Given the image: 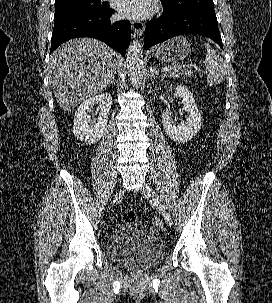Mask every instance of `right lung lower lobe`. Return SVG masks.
<instances>
[{"label": "right lung lower lobe", "mask_w": 272, "mask_h": 303, "mask_svg": "<svg viewBox=\"0 0 272 303\" xmlns=\"http://www.w3.org/2000/svg\"><path fill=\"white\" fill-rule=\"evenodd\" d=\"M113 13L107 6L103 11H83L54 19L50 53L69 39L92 37L124 56L131 39V25L127 20L111 21Z\"/></svg>", "instance_id": "obj_1"}]
</instances>
